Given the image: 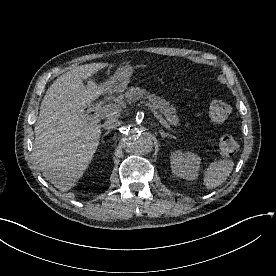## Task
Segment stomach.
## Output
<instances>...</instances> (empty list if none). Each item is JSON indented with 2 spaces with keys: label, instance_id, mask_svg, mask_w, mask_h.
<instances>
[{
  "label": "stomach",
  "instance_id": "stomach-1",
  "mask_svg": "<svg viewBox=\"0 0 276 276\" xmlns=\"http://www.w3.org/2000/svg\"><path fill=\"white\" fill-rule=\"evenodd\" d=\"M134 73V66L129 62L121 64L105 83L101 84L103 93L123 92L129 84Z\"/></svg>",
  "mask_w": 276,
  "mask_h": 276
}]
</instances>
